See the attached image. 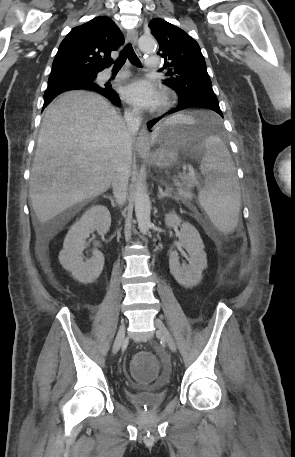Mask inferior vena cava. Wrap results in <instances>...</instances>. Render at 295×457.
<instances>
[{
  "label": "inferior vena cava",
  "mask_w": 295,
  "mask_h": 457,
  "mask_svg": "<svg viewBox=\"0 0 295 457\" xmlns=\"http://www.w3.org/2000/svg\"><path fill=\"white\" fill-rule=\"evenodd\" d=\"M124 119L131 136H133L138 131L141 124V115L139 110L133 109L131 111H126ZM129 177V165L124 159H118L112 178V188L114 197L119 205H123L126 201Z\"/></svg>",
  "instance_id": "obj_1"
}]
</instances>
